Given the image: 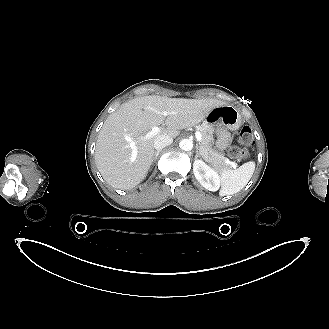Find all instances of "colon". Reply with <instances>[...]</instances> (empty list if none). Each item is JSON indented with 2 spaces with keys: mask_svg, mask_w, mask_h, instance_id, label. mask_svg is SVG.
Returning <instances> with one entry per match:
<instances>
[{
  "mask_svg": "<svg viewBox=\"0 0 329 329\" xmlns=\"http://www.w3.org/2000/svg\"><path fill=\"white\" fill-rule=\"evenodd\" d=\"M239 141L243 147L232 146L229 149V156L233 159H247L250 156L247 147L254 142L253 131L249 126L245 125L240 129Z\"/></svg>",
  "mask_w": 329,
  "mask_h": 329,
  "instance_id": "obj_1",
  "label": "colon"
}]
</instances>
